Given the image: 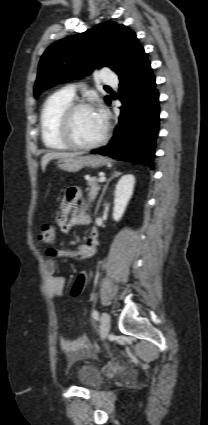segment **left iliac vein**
I'll list each match as a JSON object with an SVG mask.
<instances>
[{
    "mask_svg": "<svg viewBox=\"0 0 208 425\" xmlns=\"http://www.w3.org/2000/svg\"><path fill=\"white\" fill-rule=\"evenodd\" d=\"M110 331V317L104 312L101 316V337L104 339Z\"/></svg>",
    "mask_w": 208,
    "mask_h": 425,
    "instance_id": "1",
    "label": "left iliac vein"
}]
</instances>
